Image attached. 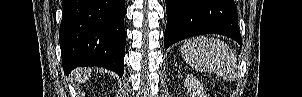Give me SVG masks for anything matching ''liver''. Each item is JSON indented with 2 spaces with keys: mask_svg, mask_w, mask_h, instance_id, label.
<instances>
[{
  "mask_svg": "<svg viewBox=\"0 0 302 97\" xmlns=\"http://www.w3.org/2000/svg\"><path fill=\"white\" fill-rule=\"evenodd\" d=\"M91 71V69H76L74 73L75 81L86 82L90 77Z\"/></svg>",
  "mask_w": 302,
  "mask_h": 97,
  "instance_id": "liver-1",
  "label": "liver"
}]
</instances>
